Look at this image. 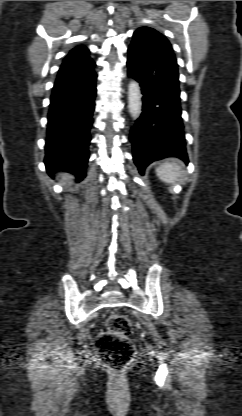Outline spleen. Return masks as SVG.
I'll return each mask as SVG.
<instances>
[{"label": "spleen", "mask_w": 242, "mask_h": 416, "mask_svg": "<svg viewBox=\"0 0 242 416\" xmlns=\"http://www.w3.org/2000/svg\"><path fill=\"white\" fill-rule=\"evenodd\" d=\"M156 174L166 183H175L181 175V168L176 162L165 161L156 169Z\"/></svg>", "instance_id": "3e777b00"}]
</instances>
